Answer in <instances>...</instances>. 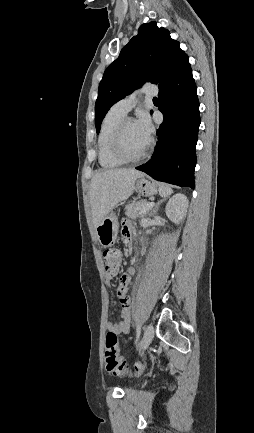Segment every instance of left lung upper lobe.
Here are the masks:
<instances>
[{
    "label": "left lung upper lobe",
    "instance_id": "obj_1",
    "mask_svg": "<svg viewBox=\"0 0 254 433\" xmlns=\"http://www.w3.org/2000/svg\"><path fill=\"white\" fill-rule=\"evenodd\" d=\"M184 53L179 42L170 37V32L158 28L156 22L141 25L138 35L129 41L119 57L105 70L99 84L95 105L97 133L113 104L146 81L160 82L161 85Z\"/></svg>",
    "mask_w": 254,
    "mask_h": 433
}]
</instances>
